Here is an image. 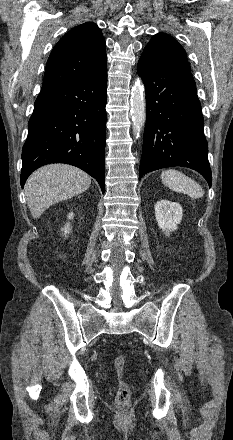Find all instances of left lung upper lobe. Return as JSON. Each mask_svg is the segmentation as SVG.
<instances>
[{
  "label": "left lung upper lobe",
  "instance_id": "1",
  "mask_svg": "<svg viewBox=\"0 0 233 440\" xmlns=\"http://www.w3.org/2000/svg\"><path fill=\"white\" fill-rule=\"evenodd\" d=\"M142 55L161 61L165 65L190 71L185 50L173 37L167 34L158 33L154 35Z\"/></svg>",
  "mask_w": 233,
  "mask_h": 440
}]
</instances>
